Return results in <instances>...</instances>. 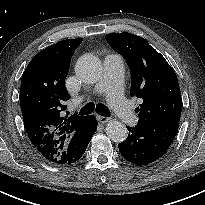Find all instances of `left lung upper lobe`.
I'll list each match as a JSON object with an SVG mask.
<instances>
[{
    "label": "left lung upper lobe",
    "mask_w": 205,
    "mask_h": 205,
    "mask_svg": "<svg viewBox=\"0 0 205 205\" xmlns=\"http://www.w3.org/2000/svg\"><path fill=\"white\" fill-rule=\"evenodd\" d=\"M131 71V96L143 99L136 108L141 122H179L182 99L173 68L148 41L127 32L106 34Z\"/></svg>",
    "instance_id": "1"
}]
</instances>
